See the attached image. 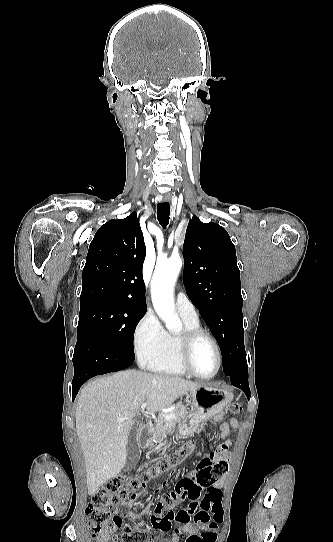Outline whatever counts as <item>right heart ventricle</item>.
<instances>
[{"label": "right heart ventricle", "instance_id": "obj_1", "mask_svg": "<svg viewBox=\"0 0 333 542\" xmlns=\"http://www.w3.org/2000/svg\"><path fill=\"white\" fill-rule=\"evenodd\" d=\"M184 332L201 329L199 321H192L181 316ZM182 334L166 333L164 343L155 349L138 355L139 365L149 371L166 373L176 376H186L178 357V342Z\"/></svg>", "mask_w": 333, "mask_h": 542}]
</instances>
